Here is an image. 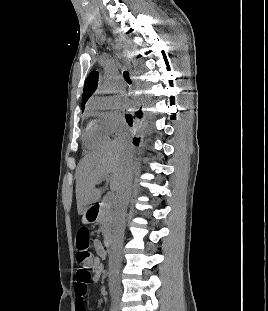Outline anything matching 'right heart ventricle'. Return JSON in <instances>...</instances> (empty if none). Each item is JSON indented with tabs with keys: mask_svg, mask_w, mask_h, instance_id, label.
<instances>
[{
	"mask_svg": "<svg viewBox=\"0 0 268 311\" xmlns=\"http://www.w3.org/2000/svg\"><path fill=\"white\" fill-rule=\"evenodd\" d=\"M108 140L107 133L96 123H89L84 133V143L86 146L97 147Z\"/></svg>",
	"mask_w": 268,
	"mask_h": 311,
	"instance_id": "1",
	"label": "right heart ventricle"
}]
</instances>
